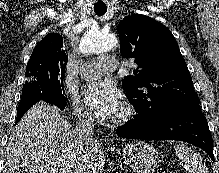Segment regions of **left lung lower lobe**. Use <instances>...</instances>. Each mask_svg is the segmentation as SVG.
<instances>
[{
	"mask_svg": "<svg viewBox=\"0 0 219 173\" xmlns=\"http://www.w3.org/2000/svg\"><path fill=\"white\" fill-rule=\"evenodd\" d=\"M119 137L142 140H180L196 145L211 157L213 140L199 103H187L150 120H129L116 130Z\"/></svg>",
	"mask_w": 219,
	"mask_h": 173,
	"instance_id": "0a47b994",
	"label": "left lung lower lobe"
}]
</instances>
